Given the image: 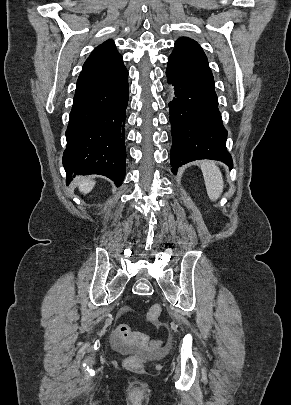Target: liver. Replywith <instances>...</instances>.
<instances>
[{"label": "liver", "instance_id": "obj_1", "mask_svg": "<svg viewBox=\"0 0 291 405\" xmlns=\"http://www.w3.org/2000/svg\"><path fill=\"white\" fill-rule=\"evenodd\" d=\"M94 185L95 182L89 179H82L78 182L79 190L84 194L89 193L93 189Z\"/></svg>", "mask_w": 291, "mask_h": 405}]
</instances>
